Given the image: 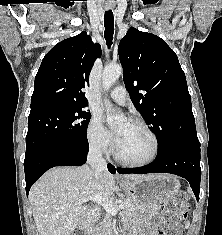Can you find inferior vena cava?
I'll return each mask as SVG.
<instances>
[{"label": "inferior vena cava", "instance_id": "obj_1", "mask_svg": "<svg viewBox=\"0 0 222 235\" xmlns=\"http://www.w3.org/2000/svg\"><path fill=\"white\" fill-rule=\"evenodd\" d=\"M88 164L96 170H106L107 163L102 157V152L99 146H91L89 148L88 157H87Z\"/></svg>", "mask_w": 222, "mask_h": 235}]
</instances>
